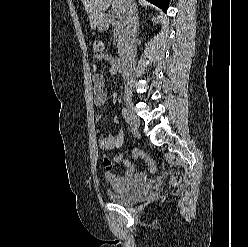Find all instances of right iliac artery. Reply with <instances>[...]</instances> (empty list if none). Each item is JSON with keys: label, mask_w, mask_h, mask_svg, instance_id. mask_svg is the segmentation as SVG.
<instances>
[{"label": "right iliac artery", "mask_w": 248, "mask_h": 247, "mask_svg": "<svg viewBox=\"0 0 248 247\" xmlns=\"http://www.w3.org/2000/svg\"><path fill=\"white\" fill-rule=\"evenodd\" d=\"M122 115H123L126 123L128 125H130L131 124V119H130V115H129V112H128L127 108H124V107L122 108Z\"/></svg>", "instance_id": "1"}]
</instances>
